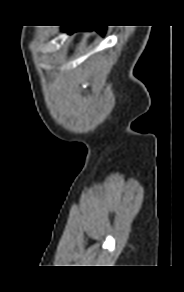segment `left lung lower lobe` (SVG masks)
<instances>
[{
    "label": "left lung lower lobe",
    "mask_w": 184,
    "mask_h": 292,
    "mask_svg": "<svg viewBox=\"0 0 184 292\" xmlns=\"http://www.w3.org/2000/svg\"><path fill=\"white\" fill-rule=\"evenodd\" d=\"M66 31H69V33H72L74 31H92V30H96L98 32H100L101 34H104L106 31V27L105 26H78V28L76 29L74 26L72 27H66L65 28Z\"/></svg>",
    "instance_id": "left-lung-lower-lobe-1"
}]
</instances>
